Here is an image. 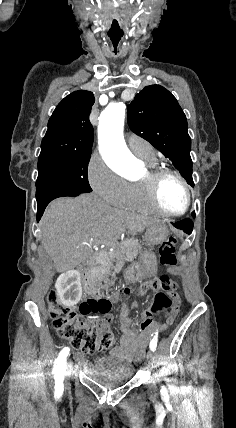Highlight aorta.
<instances>
[{
	"label": "aorta",
	"mask_w": 236,
	"mask_h": 428,
	"mask_svg": "<svg viewBox=\"0 0 236 428\" xmlns=\"http://www.w3.org/2000/svg\"><path fill=\"white\" fill-rule=\"evenodd\" d=\"M125 110L123 103L111 104L105 108L99 118L98 143L106 163L131 177L137 160L128 149L123 136Z\"/></svg>",
	"instance_id": "obj_1"
}]
</instances>
